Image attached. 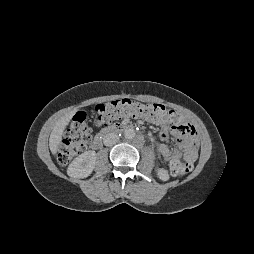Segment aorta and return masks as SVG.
<instances>
[{
  "label": "aorta",
  "mask_w": 254,
  "mask_h": 254,
  "mask_svg": "<svg viewBox=\"0 0 254 254\" xmlns=\"http://www.w3.org/2000/svg\"><path fill=\"white\" fill-rule=\"evenodd\" d=\"M124 137L126 139H133L135 137V130L133 128H128L124 131Z\"/></svg>",
  "instance_id": "762f6f07"
}]
</instances>
